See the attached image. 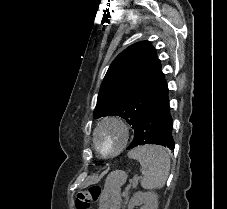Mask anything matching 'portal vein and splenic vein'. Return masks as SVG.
Masks as SVG:
<instances>
[{
  "label": "portal vein and splenic vein",
  "instance_id": "obj_1",
  "mask_svg": "<svg viewBox=\"0 0 227 209\" xmlns=\"http://www.w3.org/2000/svg\"><path fill=\"white\" fill-rule=\"evenodd\" d=\"M130 184H131V186L130 185H127L126 186V189L127 190H124L123 191V195L122 196L124 198H127L128 197V193L132 191V188H134L135 186H138L139 185V182L135 180L134 182L132 181Z\"/></svg>",
  "mask_w": 227,
  "mask_h": 209
}]
</instances>
